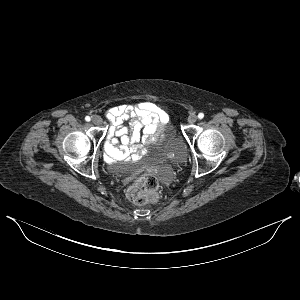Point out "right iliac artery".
<instances>
[{
  "label": "right iliac artery",
  "instance_id": "82829eb1",
  "mask_svg": "<svg viewBox=\"0 0 300 300\" xmlns=\"http://www.w3.org/2000/svg\"><path fill=\"white\" fill-rule=\"evenodd\" d=\"M85 120H86L87 122H89V121L91 120V118H90L89 116H86V117H85Z\"/></svg>",
  "mask_w": 300,
  "mask_h": 300
}]
</instances>
